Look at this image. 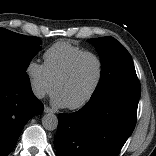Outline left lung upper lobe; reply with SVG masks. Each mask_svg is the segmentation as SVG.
I'll use <instances>...</instances> for the list:
<instances>
[{
    "label": "left lung upper lobe",
    "instance_id": "1",
    "mask_svg": "<svg viewBox=\"0 0 156 156\" xmlns=\"http://www.w3.org/2000/svg\"><path fill=\"white\" fill-rule=\"evenodd\" d=\"M101 57L100 81L91 96L95 98L111 92H126L140 96L141 87L129 52L112 37L89 39Z\"/></svg>",
    "mask_w": 156,
    "mask_h": 156
}]
</instances>
